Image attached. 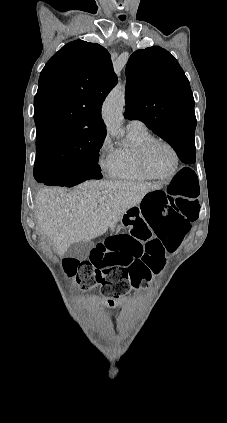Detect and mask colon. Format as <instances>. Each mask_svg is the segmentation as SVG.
I'll return each instance as SVG.
<instances>
[{"instance_id": "colon-1", "label": "colon", "mask_w": 227, "mask_h": 423, "mask_svg": "<svg viewBox=\"0 0 227 423\" xmlns=\"http://www.w3.org/2000/svg\"><path fill=\"white\" fill-rule=\"evenodd\" d=\"M199 186L195 174L181 170L170 184L150 191L142 205L143 223L135 221L129 233L108 237L92 250L90 259H66L64 267L88 289L96 281L103 293L126 295L162 270L167 252H173L198 217Z\"/></svg>"}]
</instances>
